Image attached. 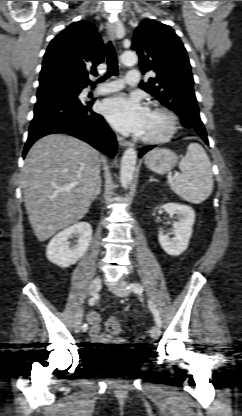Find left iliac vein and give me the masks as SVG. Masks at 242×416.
Returning <instances> with one entry per match:
<instances>
[{
	"mask_svg": "<svg viewBox=\"0 0 242 416\" xmlns=\"http://www.w3.org/2000/svg\"><path fill=\"white\" fill-rule=\"evenodd\" d=\"M112 291L120 297H125L129 295V290L127 289V282L124 280H120L117 285L112 286ZM151 336L152 338H158L161 334L160 327L158 325H154L151 328Z\"/></svg>",
	"mask_w": 242,
	"mask_h": 416,
	"instance_id": "4c4485c4",
	"label": "left iliac vein"
}]
</instances>
